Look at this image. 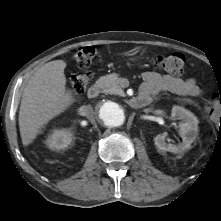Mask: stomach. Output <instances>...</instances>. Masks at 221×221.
<instances>
[{
    "mask_svg": "<svg viewBox=\"0 0 221 221\" xmlns=\"http://www.w3.org/2000/svg\"><path fill=\"white\" fill-rule=\"evenodd\" d=\"M137 53H138L137 51H130L127 55L131 56L132 57L131 60L135 61L138 59Z\"/></svg>",
    "mask_w": 221,
    "mask_h": 221,
    "instance_id": "obj_1",
    "label": "stomach"
}]
</instances>
